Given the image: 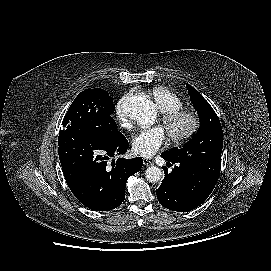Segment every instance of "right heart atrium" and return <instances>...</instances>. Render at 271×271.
Masks as SVG:
<instances>
[{"label": "right heart atrium", "mask_w": 271, "mask_h": 271, "mask_svg": "<svg viewBox=\"0 0 271 271\" xmlns=\"http://www.w3.org/2000/svg\"><path fill=\"white\" fill-rule=\"evenodd\" d=\"M129 98H130V95L123 96L117 102V105H116V117L118 121L120 122V124L125 127L129 125V120H128L127 113L124 109V105L129 100Z\"/></svg>", "instance_id": "d8ad5b80"}]
</instances>
